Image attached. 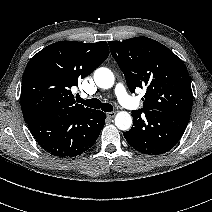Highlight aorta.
Returning a JSON list of instances; mask_svg holds the SVG:
<instances>
[{
  "label": "aorta",
  "mask_w": 212,
  "mask_h": 212,
  "mask_svg": "<svg viewBox=\"0 0 212 212\" xmlns=\"http://www.w3.org/2000/svg\"><path fill=\"white\" fill-rule=\"evenodd\" d=\"M94 81L102 89H109L114 85L115 77L112 71L105 67H100L94 72ZM115 125L118 129L127 131L132 126V117L126 111H120L115 116Z\"/></svg>",
  "instance_id": "1"
}]
</instances>
